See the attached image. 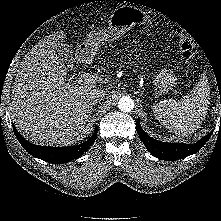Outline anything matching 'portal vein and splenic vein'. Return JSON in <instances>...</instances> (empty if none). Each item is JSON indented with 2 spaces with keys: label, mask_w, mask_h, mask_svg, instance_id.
Segmentation results:
<instances>
[{
  "label": "portal vein and splenic vein",
  "mask_w": 221,
  "mask_h": 221,
  "mask_svg": "<svg viewBox=\"0 0 221 221\" xmlns=\"http://www.w3.org/2000/svg\"><path fill=\"white\" fill-rule=\"evenodd\" d=\"M97 82H98V76L87 74L84 72L80 74V77L77 80V83H84V84H95Z\"/></svg>",
  "instance_id": "18ae733b"
}]
</instances>
